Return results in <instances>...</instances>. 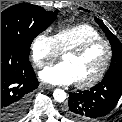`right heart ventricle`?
Listing matches in <instances>:
<instances>
[{"label":"right heart ventricle","mask_w":122,"mask_h":122,"mask_svg":"<svg viewBox=\"0 0 122 122\" xmlns=\"http://www.w3.org/2000/svg\"><path fill=\"white\" fill-rule=\"evenodd\" d=\"M101 34L89 24H76L62 28L56 32L54 39L60 53L74 48L88 40L99 39Z\"/></svg>","instance_id":"1"}]
</instances>
